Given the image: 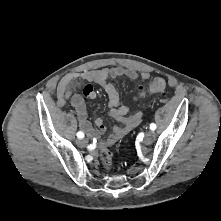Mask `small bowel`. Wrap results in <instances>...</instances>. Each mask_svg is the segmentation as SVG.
Masks as SVG:
<instances>
[{"label":"small bowel","instance_id":"obj_1","mask_svg":"<svg viewBox=\"0 0 221 221\" xmlns=\"http://www.w3.org/2000/svg\"><path fill=\"white\" fill-rule=\"evenodd\" d=\"M120 77H127L131 80H135L139 75L133 69L124 67L88 70L64 76L57 89L58 105L63 106L66 100L71 97V104L75 108L80 129L86 134L100 139L106 130L103 120L97 118L95 120V127L92 126L88 120L84 98L77 94L72 96V88L79 79L89 82L83 85V92L89 99H95L97 97V89L92 83L98 84L103 88L108 98L109 115L122 124L121 126H115L105 139L100 140L101 145L104 146H111L121 140L131 129L137 126L143 118L142 111H138L134 114L129 113L128 106L121 103L116 87L109 82V79ZM140 78L147 81L149 79V74L142 72Z\"/></svg>","mask_w":221,"mask_h":221}]
</instances>
